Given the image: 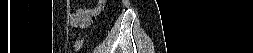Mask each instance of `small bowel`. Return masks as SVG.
I'll return each mask as SVG.
<instances>
[{"label": "small bowel", "mask_w": 253, "mask_h": 53, "mask_svg": "<svg viewBox=\"0 0 253 53\" xmlns=\"http://www.w3.org/2000/svg\"><path fill=\"white\" fill-rule=\"evenodd\" d=\"M103 6V2L100 1L95 7L92 8H77L70 13V21L72 26L77 28H85L89 26L99 14Z\"/></svg>", "instance_id": "c3829d8e"}]
</instances>
